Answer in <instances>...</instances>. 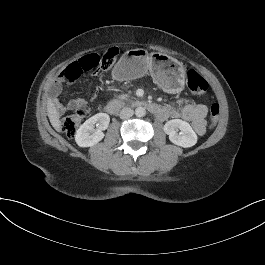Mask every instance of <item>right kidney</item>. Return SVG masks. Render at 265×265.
<instances>
[{
  "label": "right kidney",
  "mask_w": 265,
  "mask_h": 265,
  "mask_svg": "<svg viewBox=\"0 0 265 265\" xmlns=\"http://www.w3.org/2000/svg\"><path fill=\"white\" fill-rule=\"evenodd\" d=\"M109 122L110 117L106 113H98L86 120L75 135L78 146L90 147L101 141L104 138L102 131L108 128Z\"/></svg>",
  "instance_id": "ca27d5eb"
}]
</instances>
